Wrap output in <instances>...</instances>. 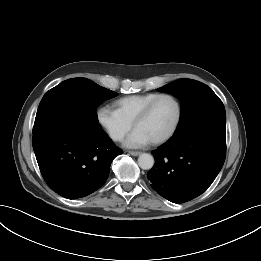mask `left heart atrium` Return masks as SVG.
<instances>
[{
	"mask_svg": "<svg viewBox=\"0 0 261 261\" xmlns=\"http://www.w3.org/2000/svg\"><path fill=\"white\" fill-rule=\"evenodd\" d=\"M152 140L141 130L133 129V131L124 140L123 145L127 148H140L150 144Z\"/></svg>",
	"mask_w": 261,
	"mask_h": 261,
	"instance_id": "1",
	"label": "left heart atrium"
}]
</instances>
